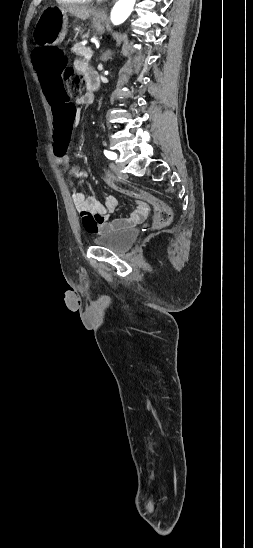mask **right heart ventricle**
Here are the masks:
<instances>
[{
    "label": "right heart ventricle",
    "instance_id": "obj_1",
    "mask_svg": "<svg viewBox=\"0 0 253 548\" xmlns=\"http://www.w3.org/2000/svg\"><path fill=\"white\" fill-rule=\"evenodd\" d=\"M91 0H56L57 3L62 5H76V4H84L88 3Z\"/></svg>",
    "mask_w": 253,
    "mask_h": 548
}]
</instances>
